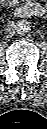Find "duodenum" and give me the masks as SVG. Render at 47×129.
Segmentation results:
<instances>
[{"label": "duodenum", "instance_id": "410a0bca", "mask_svg": "<svg viewBox=\"0 0 47 129\" xmlns=\"http://www.w3.org/2000/svg\"><path fill=\"white\" fill-rule=\"evenodd\" d=\"M15 14L19 17L39 16L43 14V8L36 3L30 2L17 7Z\"/></svg>", "mask_w": 47, "mask_h": 129}]
</instances>
